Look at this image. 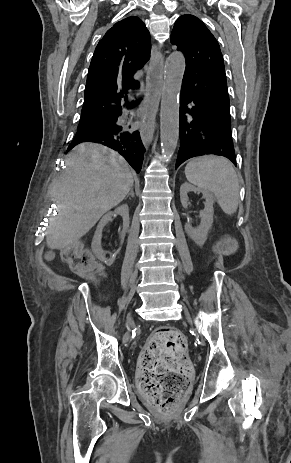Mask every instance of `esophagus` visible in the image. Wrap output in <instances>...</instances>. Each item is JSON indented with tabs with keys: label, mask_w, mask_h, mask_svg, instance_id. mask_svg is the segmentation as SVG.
<instances>
[{
	"label": "esophagus",
	"mask_w": 291,
	"mask_h": 463,
	"mask_svg": "<svg viewBox=\"0 0 291 463\" xmlns=\"http://www.w3.org/2000/svg\"><path fill=\"white\" fill-rule=\"evenodd\" d=\"M163 54L158 51L157 46L153 47L151 58V72H150V88L148 92V111L143 119L140 129V135L145 144H150L153 139L156 114L158 110L159 101L163 91Z\"/></svg>",
	"instance_id": "esophagus-1"
}]
</instances>
